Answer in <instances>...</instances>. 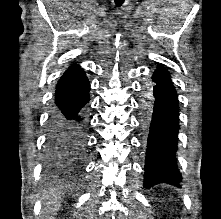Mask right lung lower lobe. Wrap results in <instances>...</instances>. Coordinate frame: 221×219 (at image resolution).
<instances>
[{
	"label": "right lung lower lobe",
	"mask_w": 221,
	"mask_h": 219,
	"mask_svg": "<svg viewBox=\"0 0 221 219\" xmlns=\"http://www.w3.org/2000/svg\"><path fill=\"white\" fill-rule=\"evenodd\" d=\"M90 84L79 65H71L56 86L47 134L46 165L62 169L71 165L83 152L85 116Z\"/></svg>",
	"instance_id": "right-lung-lower-lobe-1"
}]
</instances>
